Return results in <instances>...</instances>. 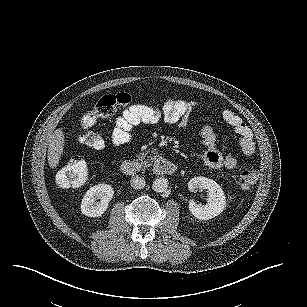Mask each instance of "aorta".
<instances>
[{"mask_svg": "<svg viewBox=\"0 0 307 307\" xmlns=\"http://www.w3.org/2000/svg\"><path fill=\"white\" fill-rule=\"evenodd\" d=\"M168 186V179L164 177H159L153 181L152 189L157 193H164L167 191Z\"/></svg>", "mask_w": 307, "mask_h": 307, "instance_id": "1", "label": "aorta"}]
</instances>
